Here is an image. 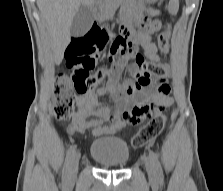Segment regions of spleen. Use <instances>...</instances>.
I'll return each mask as SVG.
<instances>
[{
	"label": "spleen",
	"instance_id": "obj_1",
	"mask_svg": "<svg viewBox=\"0 0 223 191\" xmlns=\"http://www.w3.org/2000/svg\"><path fill=\"white\" fill-rule=\"evenodd\" d=\"M179 8V0H170L169 11L172 14H176Z\"/></svg>",
	"mask_w": 223,
	"mask_h": 191
}]
</instances>
